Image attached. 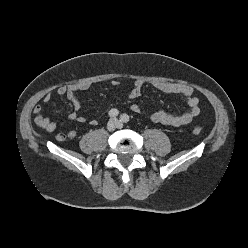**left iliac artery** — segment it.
Segmentation results:
<instances>
[{
  "label": "left iliac artery",
  "mask_w": 248,
  "mask_h": 248,
  "mask_svg": "<svg viewBox=\"0 0 248 248\" xmlns=\"http://www.w3.org/2000/svg\"><path fill=\"white\" fill-rule=\"evenodd\" d=\"M120 120L124 123L129 122V116L127 114H122Z\"/></svg>",
  "instance_id": "obj_1"
}]
</instances>
